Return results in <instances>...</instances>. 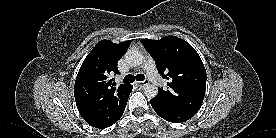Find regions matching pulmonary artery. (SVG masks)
Here are the masks:
<instances>
[{
	"label": "pulmonary artery",
	"instance_id": "1",
	"mask_svg": "<svg viewBox=\"0 0 276 138\" xmlns=\"http://www.w3.org/2000/svg\"><path fill=\"white\" fill-rule=\"evenodd\" d=\"M144 69L150 82L157 86H161L164 83V80L157 72L155 62L151 58L146 59Z\"/></svg>",
	"mask_w": 276,
	"mask_h": 138
}]
</instances>
